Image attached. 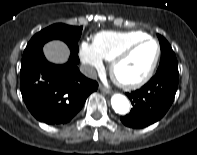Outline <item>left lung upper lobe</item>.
I'll return each instance as SVG.
<instances>
[{"label":"left lung upper lobe","instance_id":"obj_1","mask_svg":"<svg viewBox=\"0 0 197 155\" xmlns=\"http://www.w3.org/2000/svg\"><path fill=\"white\" fill-rule=\"evenodd\" d=\"M157 36L159 38L161 48V61L157 73L165 70H172L178 72L177 59L170 44L163 36L159 34Z\"/></svg>","mask_w":197,"mask_h":155}]
</instances>
